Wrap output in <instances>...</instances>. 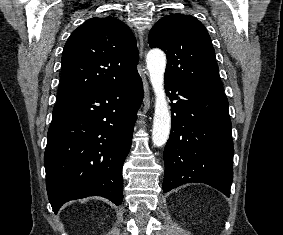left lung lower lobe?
<instances>
[{
  "label": "left lung lower lobe",
  "mask_w": 283,
  "mask_h": 235,
  "mask_svg": "<svg viewBox=\"0 0 283 235\" xmlns=\"http://www.w3.org/2000/svg\"><path fill=\"white\" fill-rule=\"evenodd\" d=\"M172 127L164 150V193L186 183L208 184L227 197L233 179V143L224 93L165 78Z\"/></svg>",
  "instance_id": "obj_1"
}]
</instances>
